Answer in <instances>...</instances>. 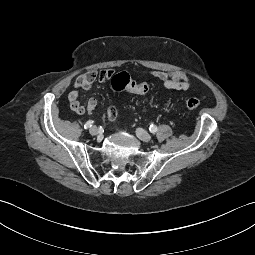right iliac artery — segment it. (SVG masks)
Segmentation results:
<instances>
[{
	"label": "right iliac artery",
	"mask_w": 255,
	"mask_h": 255,
	"mask_svg": "<svg viewBox=\"0 0 255 255\" xmlns=\"http://www.w3.org/2000/svg\"><path fill=\"white\" fill-rule=\"evenodd\" d=\"M93 122H94V121H92V120L87 121V122L85 123V125H84V129H89L90 127H92Z\"/></svg>",
	"instance_id": "obj_1"
}]
</instances>
